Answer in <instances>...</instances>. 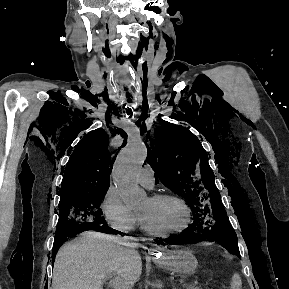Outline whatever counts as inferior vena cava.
I'll use <instances>...</instances> for the list:
<instances>
[{
  "instance_id": "1",
  "label": "inferior vena cava",
  "mask_w": 289,
  "mask_h": 289,
  "mask_svg": "<svg viewBox=\"0 0 289 289\" xmlns=\"http://www.w3.org/2000/svg\"><path fill=\"white\" fill-rule=\"evenodd\" d=\"M132 255L136 256L137 255V251L134 250V246H132ZM133 283H130V286H132Z\"/></svg>"
}]
</instances>
